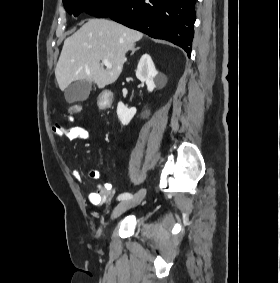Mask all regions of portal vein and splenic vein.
<instances>
[{"mask_svg": "<svg viewBox=\"0 0 280 283\" xmlns=\"http://www.w3.org/2000/svg\"><path fill=\"white\" fill-rule=\"evenodd\" d=\"M102 64L105 65L106 67L110 68L112 65L108 60H102Z\"/></svg>", "mask_w": 280, "mask_h": 283, "instance_id": "portal-vein-and-splenic-vein-1", "label": "portal vein and splenic vein"}]
</instances>
